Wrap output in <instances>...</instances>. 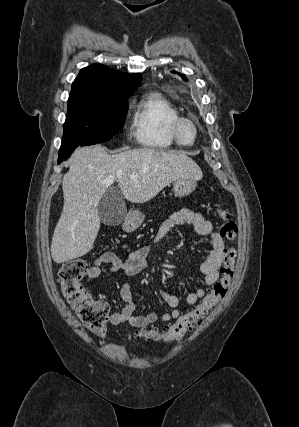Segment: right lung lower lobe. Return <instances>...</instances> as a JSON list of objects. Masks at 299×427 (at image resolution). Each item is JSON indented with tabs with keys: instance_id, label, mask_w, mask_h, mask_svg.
<instances>
[{
	"instance_id": "obj_1",
	"label": "right lung lower lobe",
	"mask_w": 299,
	"mask_h": 427,
	"mask_svg": "<svg viewBox=\"0 0 299 427\" xmlns=\"http://www.w3.org/2000/svg\"><path fill=\"white\" fill-rule=\"evenodd\" d=\"M74 149L75 148L70 149L66 152H59V158L57 163L60 164L61 162L65 161L70 156V154L74 151Z\"/></svg>"
}]
</instances>
